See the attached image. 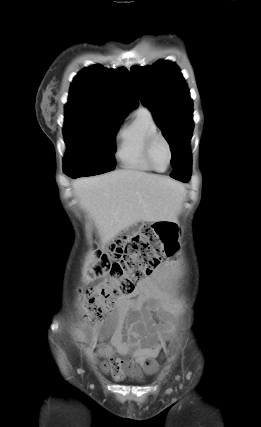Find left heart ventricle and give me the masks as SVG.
I'll return each mask as SVG.
<instances>
[{
  "label": "left heart ventricle",
  "mask_w": 261,
  "mask_h": 427,
  "mask_svg": "<svg viewBox=\"0 0 261 427\" xmlns=\"http://www.w3.org/2000/svg\"><path fill=\"white\" fill-rule=\"evenodd\" d=\"M152 158L158 169L163 170L166 168L169 161V152L162 140L156 141L152 151Z\"/></svg>",
  "instance_id": "b2bd125f"
}]
</instances>
